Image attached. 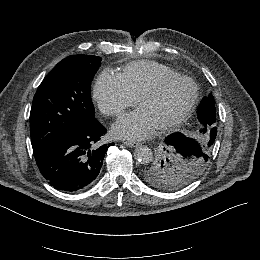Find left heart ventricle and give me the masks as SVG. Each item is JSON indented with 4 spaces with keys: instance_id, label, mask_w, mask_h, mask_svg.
Listing matches in <instances>:
<instances>
[{
    "instance_id": "obj_1",
    "label": "left heart ventricle",
    "mask_w": 260,
    "mask_h": 260,
    "mask_svg": "<svg viewBox=\"0 0 260 260\" xmlns=\"http://www.w3.org/2000/svg\"><path fill=\"white\" fill-rule=\"evenodd\" d=\"M194 93L195 88L190 81L176 79L163 85L157 93L141 99L138 107L146 111L157 127L181 116L193 99Z\"/></svg>"
}]
</instances>
